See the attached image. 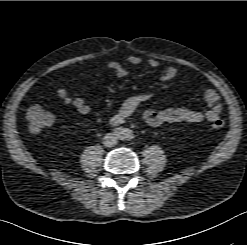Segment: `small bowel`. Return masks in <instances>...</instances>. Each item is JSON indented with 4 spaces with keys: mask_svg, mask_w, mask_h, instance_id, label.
<instances>
[{
    "mask_svg": "<svg viewBox=\"0 0 247 245\" xmlns=\"http://www.w3.org/2000/svg\"><path fill=\"white\" fill-rule=\"evenodd\" d=\"M127 62L130 65L136 66L141 63V58L135 55L128 57ZM148 65L152 68L159 67L160 63L157 59L151 58L148 60ZM106 67L114 72L119 78H126L128 70L119 61H109ZM177 76L175 67H167L164 69L161 79L163 81H171ZM57 94L62 102L67 106H73L79 114L87 115L91 107L81 97H75L69 93L65 87H60ZM154 98L151 92L135 93L128 96L119 106L115 114L111 117V123L114 125L120 124L128 119L140 105ZM204 100L208 106L206 111H197L186 107L166 108L161 110L148 109L144 112V121L152 127H158L169 123H200L203 121L213 122L220 117L222 112V103L218 93L213 89H208L204 93Z\"/></svg>",
    "mask_w": 247,
    "mask_h": 245,
    "instance_id": "c3829d8e",
    "label": "small bowel"
}]
</instances>
